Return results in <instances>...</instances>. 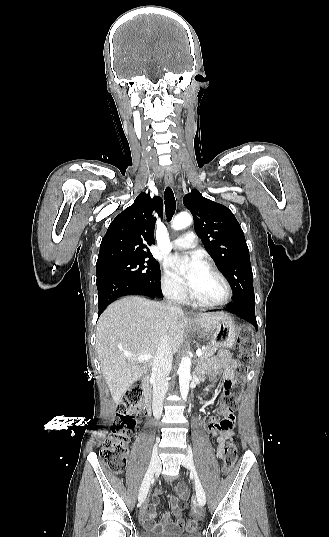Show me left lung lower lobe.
I'll return each instance as SVG.
<instances>
[{"label": "left lung lower lobe", "instance_id": "1", "mask_svg": "<svg viewBox=\"0 0 329 537\" xmlns=\"http://www.w3.org/2000/svg\"><path fill=\"white\" fill-rule=\"evenodd\" d=\"M224 310L241 317L242 319L253 325L257 330L258 326L255 317V302H232L226 308H224Z\"/></svg>", "mask_w": 329, "mask_h": 537}]
</instances>
